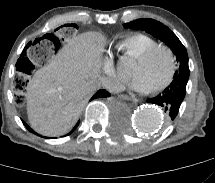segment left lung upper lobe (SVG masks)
Instances as JSON below:
<instances>
[{
  "mask_svg": "<svg viewBox=\"0 0 215 183\" xmlns=\"http://www.w3.org/2000/svg\"><path fill=\"white\" fill-rule=\"evenodd\" d=\"M124 27L144 30L165 42L176 55L177 61L179 62V69L175 72L174 78H189L188 55L186 48L167 26L153 19H138L124 24Z\"/></svg>",
  "mask_w": 215,
  "mask_h": 183,
  "instance_id": "obj_1",
  "label": "left lung upper lobe"
}]
</instances>
